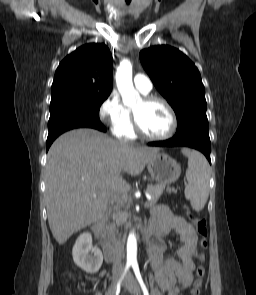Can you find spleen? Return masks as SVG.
I'll list each match as a JSON object with an SVG mask.
<instances>
[{
	"label": "spleen",
	"instance_id": "spleen-1",
	"mask_svg": "<svg viewBox=\"0 0 256 295\" xmlns=\"http://www.w3.org/2000/svg\"><path fill=\"white\" fill-rule=\"evenodd\" d=\"M182 153L188 158L186 171L188 184L185 187V197L195 211H201L209 195L210 166L198 151L183 148Z\"/></svg>",
	"mask_w": 256,
	"mask_h": 295
}]
</instances>
